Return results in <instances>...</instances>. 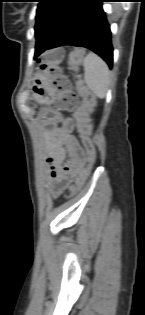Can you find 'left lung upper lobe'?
<instances>
[{"label": "left lung upper lobe", "instance_id": "left-lung-upper-lobe-1", "mask_svg": "<svg viewBox=\"0 0 145 315\" xmlns=\"http://www.w3.org/2000/svg\"><path fill=\"white\" fill-rule=\"evenodd\" d=\"M71 2L72 0H39L35 25L37 43L44 38L58 16Z\"/></svg>", "mask_w": 145, "mask_h": 315}]
</instances>
